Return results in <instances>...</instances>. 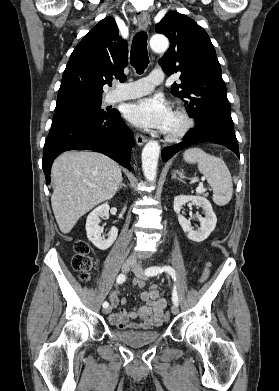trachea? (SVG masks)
Segmentation results:
<instances>
[{"instance_id": "3493384b", "label": "trachea", "mask_w": 279, "mask_h": 391, "mask_svg": "<svg viewBox=\"0 0 279 391\" xmlns=\"http://www.w3.org/2000/svg\"><path fill=\"white\" fill-rule=\"evenodd\" d=\"M149 63L147 52V33L137 32L131 46V65L138 74H142Z\"/></svg>"}]
</instances>
